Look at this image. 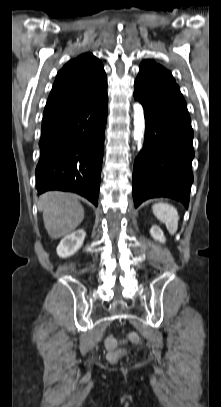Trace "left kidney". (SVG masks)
<instances>
[{"label": "left kidney", "mask_w": 221, "mask_h": 407, "mask_svg": "<svg viewBox=\"0 0 221 407\" xmlns=\"http://www.w3.org/2000/svg\"><path fill=\"white\" fill-rule=\"evenodd\" d=\"M150 234L155 240L162 243H164L166 240L163 231L158 226H152L150 229Z\"/></svg>", "instance_id": "1"}]
</instances>
